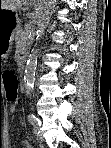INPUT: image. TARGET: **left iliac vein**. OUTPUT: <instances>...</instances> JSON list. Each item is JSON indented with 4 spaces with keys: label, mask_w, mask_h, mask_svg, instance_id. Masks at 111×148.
Returning a JSON list of instances; mask_svg holds the SVG:
<instances>
[{
    "label": "left iliac vein",
    "mask_w": 111,
    "mask_h": 148,
    "mask_svg": "<svg viewBox=\"0 0 111 148\" xmlns=\"http://www.w3.org/2000/svg\"><path fill=\"white\" fill-rule=\"evenodd\" d=\"M34 133L38 139H40V140L43 139L42 135L40 134V129H39L38 124L34 125Z\"/></svg>",
    "instance_id": "1"
}]
</instances>
